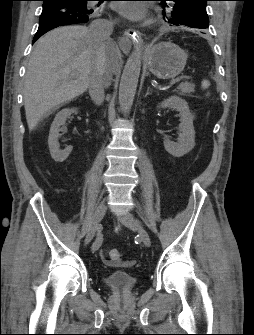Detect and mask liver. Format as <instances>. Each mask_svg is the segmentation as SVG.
<instances>
[{
    "label": "liver",
    "instance_id": "1",
    "mask_svg": "<svg viewBox=\"0 0 254 335\" xmlns=\"http://www.w3.org/2000/svg\"><path fill=\"white\" fill-rule=\"evenodd\" d=\"M120 51L113 40L94 43L89 28L73 25L56 28L41 37L28 62L24 83V107L29 130L88 88L98 59L111 78L118 70Z\"/></svg>",
    "mask_w": 254,
    "mask_h": 335
}]
</instances>
